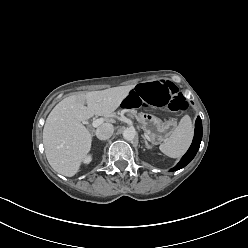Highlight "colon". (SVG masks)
<instances>
[{"instance_id":"obj_1","label":"colon","mask_w":248,"mask_h":248,"mask_svg":"<svg viewBox=\"0 0 248 248\" xmlns=\"http://www.w3.org/2000/svg\"><path fill=\"white\" fill-rule=\"evenodd\" d=\"M122 105L126 110L155 107L182 112L186 109V102L178 88L163 80L130 88Z\"/></svg>"}]
</instances>
